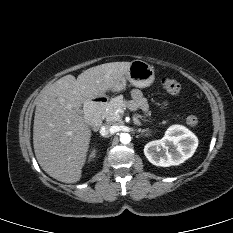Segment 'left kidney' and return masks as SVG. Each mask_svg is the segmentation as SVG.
Returning <instances> with one entry per match:
<instances>
[{
  "label": "left kidney",
  "mask_w": 233,
  "mask_h": 233,
  "mask_svg": "<svg viewBox=\"0 0 233 233\" xmlns=\"http://www.w3.org/2000/svg\"><path fill=\"white\" fill-rule=\"evenodd\" d=\"M197 146L198 139L190 130L182 125H173L162 139L147 143L144 154L153 165L169 167L190 158Z\"/></svg>",
  "instance_id": "1"
}]
</instances>
